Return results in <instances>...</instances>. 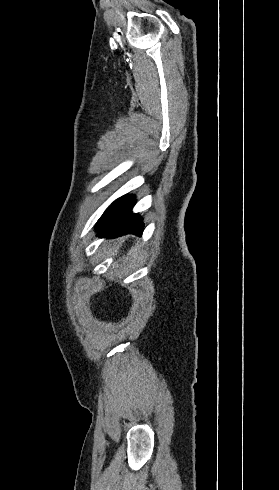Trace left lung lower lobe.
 Masks as SVG:
<instances>
[{
    "instance_id": "0a47b994",
    "label": "left lung lower lobe",
    "mask_w": 279,
    "mask_h": 490,
    "mask_svg": "<svg viewBox=\"0 0 279 490\" xmlns=\"http://www.w3.org/2000/svg\"><path fill=\"white\" fill-rule=\"evenodd\" d=\"M136 198L134 195H124L116 200L114 209L98 221L95 229L99 236L115 238L125 234L141 236L144 230L143 218L132 213Z\"/></svg>"
}]
</instances>
